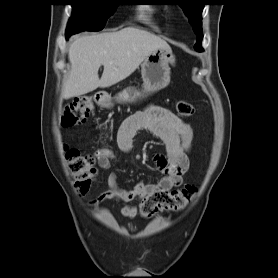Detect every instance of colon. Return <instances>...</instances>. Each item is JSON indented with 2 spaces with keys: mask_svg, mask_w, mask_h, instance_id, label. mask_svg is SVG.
I'll list each match as a JSON object with an SVG mask.
<instances>
[{
  "mask_svg": "<svg viewBox=\"0 0 278 278\" xmlns=\"http://www.w3.org/2000/svg\"><path fill=\"white\" fill-rule=\"evenodd\" d=\"M93 110L90 97L84 96L75 99L64 106L61 116V124L64 127H73L83 124ZM176 110L183 117H191L195 113V107L187 101H179ZM189 139L184 138L182 144H188ZM68 169L74 179V188L78 194H85L90 188L97 170L94 166L95 157L84 154L76 148H68L65 153ZM99 156H113L112 151L102 149L97 152ZM196 187L186 185L179 190H158L145 197L140 206L143 217H152L165 211H178L183 209L195 196Z\"/></svg>",
  "mask_w": 278,
  "mask_h": 278,
  "instance_id": "5ec220e1",
  "label": "colon"
}]
</instances>
